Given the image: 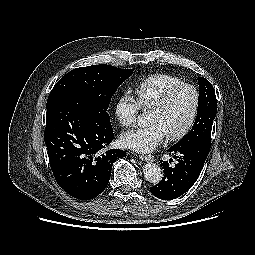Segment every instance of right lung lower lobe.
<instances>
[{
  "label": "right lung lower lobe",
  "instance_id": "98d812e1",
  "mask_svg": "<svg viewBox=\"0 0 255 255\" xmlns=\"http://www.w3.org/2000/svg\"><path fill=\"white\" fill-rule=\"evenodd\" d=\"M46 109L44 139L58 185L77 199L98 196L114 161L126 155L118 149L101 151L114 138L112 126L100 125L88 109L67 98Z\"/></svg>",
  "mask_w": 255,
  "mask_h": 255
}]
</instances>
